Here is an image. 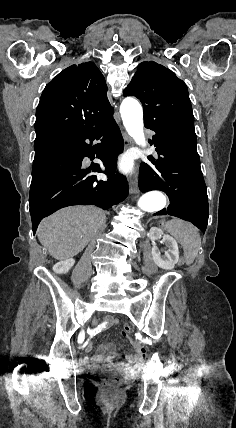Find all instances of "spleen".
I'll list each match as a JSON object with an SVG mask.
<instances>
[{
	"label": "spleen",
	"mask_w": 236,
	"mask_h": 428,
	"mask_svg": "<svg viewBox=\"0 0 236 428\" xmlns=\"http://www.w3.org/2000/svg\"><path fill=\"white\" fill-rule=\"evenodd\" d=\"M165 230L181 244L187 266L193 264L201 244L197 228L189 224V222L173 218V220L167 222Z\"/></svg>",
	"instance_id": "1"
}]
</instances>
